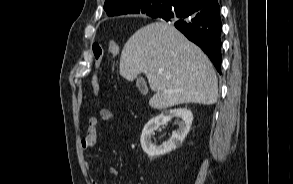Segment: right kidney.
<instances>
[{
  "instance_id": "ca27d5eb",
  "label": "right kidney",
  "mask_w": 293,
  "mask_h": 184,
  "mask_svg": "<svg viewBox=\"0 0 293 184\" xmlns=\"http://www.w3.org/2000/svg\"><path fill=\"white\" fill-rule=\"evenodd\" d=\"M172 118H180L179 129L172 133L169 141L164 142L161 146L152 143L151 136L159 126L167 124ZM193 121V114L187 108L172 109L163 111L160 115L150 119L144 126L141 134V147L143 151L150 157L164 155L178 148L188 132L190 131Z\"/></svg>"
}]
</instances>
